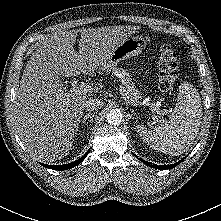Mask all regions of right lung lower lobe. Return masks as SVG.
<instances>
[{"label":"right lung lower lobe","mask_w":221,"mask_h":221,"mask_svg":"<svg viewBox=\"0 0 221 221\" xmlns=\"http://www.w3.org/2000/svg\"><path fill=\"white\" fill-rule=\"evenodd\" d=\"M87 154H88V152H86V154L84 156H82L80 159H78L72 163H68V164H64V165H47V164H42V165L46 168H50V169H54V170H66V169L73 168L74 166H77L79 163H81L85 159Z\"/></svg>","instance_id":"right-lung-lower-lobe-1"}]
</instances>
